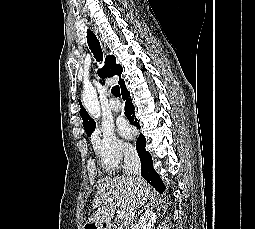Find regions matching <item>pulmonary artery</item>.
<instances>
[{
    "mask_svg": "<svg viewBox=\"0 0 255 229\" xmlns=\"http://www.w3.org/2000/svg\"><path fill=\"white\" fill-rule=\"evenodd\" d=\"M109 106H110V109L114 112H119L122 108V105L119 102V100L114 97L109 100Z\"/></svg>",
    "mask_w": 255,
    "mask_h": 229,
    "instance_id": "pulmonary-artery-1",
    "label": "pulmonary artery"
}]
</instances>
